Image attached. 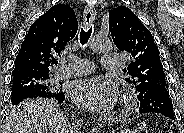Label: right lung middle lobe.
<instances>
[{"label":"right lung middle lobe","mask_w":184,"mask_h":133,"mask_svg":"<svg viewBox=\"0 0 184 133\" xmlns=\"http://www.w3.org/2000/svg\"><path fill=\"white\" fill-rule=\"evenodd\" d=\"M49 75L19 74L12 79L11 102L21 98L50 97L60 91L50 86Z\"/></svg>","instance_id":"dd1d6c3e"}]
</instances>
